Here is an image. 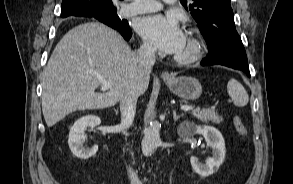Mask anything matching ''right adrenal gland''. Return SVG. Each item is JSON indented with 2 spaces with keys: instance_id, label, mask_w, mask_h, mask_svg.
<instances>
[{
  "instance_id": "1",
  "label": "right adrenal gland",
  "mask_w": 293,
  "mask_h": 184,
  "mask_svg": "<svg viewBox=\"0 0 293 184\" xmlns=\"http://www.w3.org/2000/svg\"><path fill=\"white\" fill-rule=\"evenodd\" d=\"M116 114H118V110H115Z\"/></svg>"
}]
</instances>
